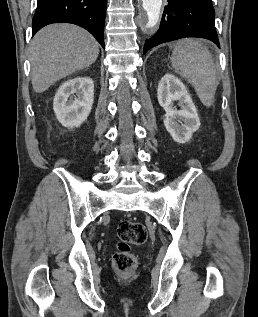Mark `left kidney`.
<instances>
[{
  "label": "left kidney",
  "mask_w": 258,
  "mask_h": 317,
  "mask_svg": "<svg viewBox=\"0 0 258 317\" xmlns=\"http://www.w3.org/2000/svg\"><path fill=\"white\" fill-rule=\"evenodd\" d=\"M157 94L160 106L166 110L164 124L168 132L176 142H188L201 122L185 84L167 72L158 84ZM174 100H178L182 110H176Z\"/></svg>",
  "instance_id": "5707ae66"
}]
</instances>
